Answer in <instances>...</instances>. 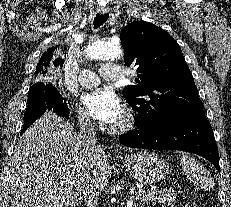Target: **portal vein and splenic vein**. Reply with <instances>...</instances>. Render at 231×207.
<instances>
[{
    "mask_svg": "<svg viewBox=\"0 0 231 207\" xmlns=\"http://www.w3.org/2000/svg\"><path fill=\"white\" fill-rule=\"evenodd\" d=\"M150 198V196H145V197H143L142 198V200L144 201V200H148ZM133 198H130V200H128V202H127V207H132L133 206Z\"/></svg>",
    "mask_w": 231,
    "mask_h": 207,
    "instance_id": "18ae733b",
    "label": "portal vein and splenic vein"
}]
</instances>
